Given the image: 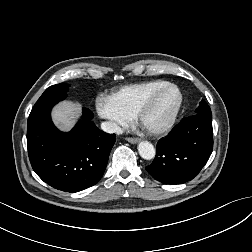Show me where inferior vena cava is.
Returning a JSON list of instances; mask_svg holds the SVG:
<instances>
[{"mask_svg":"<svg viewBox=\"0 0 252 252\" xmlns=\"http://www.w3.org/2000/svg\"><path fill=\"white\" fill-rule=\"evenodd\" d=\"M101 129L106 133L122 134V129L115 123L112 122H102Z\"/></svg>","mask_w":252,"mask_h":252,"instance_id":"1","label":"inferior vena cava"}]
</instances>
